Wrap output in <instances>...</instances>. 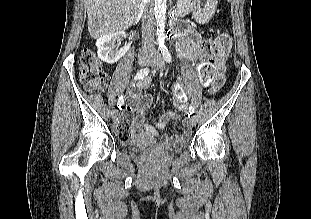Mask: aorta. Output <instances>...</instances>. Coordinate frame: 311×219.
<instances>
[{"label":"aorta","instance_id":"762f6f07","mask_svg":"<svg viewBox=\"0 0 311 219\" xmlns=\"http://www.w3.org/2000/svg\"><path fill=\"white\" fill-rule=\"evenodd\" d=\"M166 9L167 0H155L154 14L157 27V44L160 48H163L165 43Z\"/></svg>","mask_w":311,"mask_h":219}]
</instances>
